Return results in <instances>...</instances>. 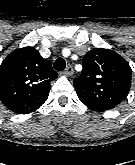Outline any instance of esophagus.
Listing matches in <instances>:
<instances>
[{"label": "esophagus", "instance_id": "esophagus-1", "mask_svg": "<svg viewBox=\"0 0 135 165\" xmlns=\"http://www.w3.org/2000/svg\"><path fill=\"white\" fill-rule=\"evenodd\" d=\"M64 75L71 76L74 73L73 67L71 65L67 66V68L64 70Z\"/></svg>", "mask_w": 135, "mask_h": 165}]
</instances>
